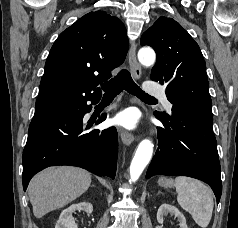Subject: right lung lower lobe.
I'll use <instances>...</instances> for the list:
<instances>
[{
    "mask_svg": "<svg viewBox=\"0 0 238 228\" xmlns=\"http://www.w3.org/2000/svg\"><path fill=\"white\" fill-rule=\"evenodd\" d=\"M101 96L88 97L67 105L36 111L29 126V135L23 151V188L42 169L55 165H73L98 176L116 174L118 154L117 131L114 127L90 130L84 115ZM106 119L102 115L96 124Z\"/></svg>",
    "mask_w": 238,
    "mask_h": 228,
    "instance_id": "obj_1",
    "label": "right lung lower lobe"
}]
</instances>
